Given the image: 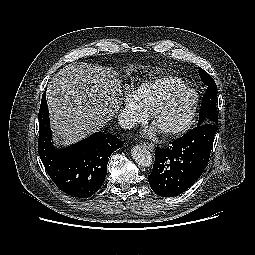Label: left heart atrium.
I'll use <instances>...</instances> for the list:
<instances>
[{"label": "left heart atrium", "instance_id": "1", "mask_svg": "<svg viewBox=\"0 0 255 255\" xmlns=\"http://www.w3.org/2000/svg\"><path fill=\"white\" fill-rule=\"evenodd\" d=\"M156 132V128L155 127H152L148 130L147 134L148 135H153L154 133Z\"/></svg>", "mask_w": 255, "mask_h": 255}]
</instances>
